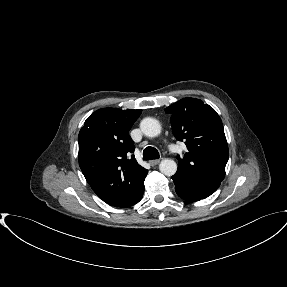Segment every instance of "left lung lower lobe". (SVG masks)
Instances as JSON below:
<instances>
[{
	"instance_id": "obj_1",
	"label": "left lung lower lobe",
	"mask_w": 287,
	"mask_h": 287,
	"mask_svg": "<svg viewBox=\"0 0 287 287\" xmlns=\"http://www.w3.org/2000/svg\"><path fill=\"white\" fill-rule=\"evenodd\" d=\"M172 179L175 184V191L179 197L187 201H199L210 196L220 185H189L178 178Z\"/></svg>"
}]
</instances>
